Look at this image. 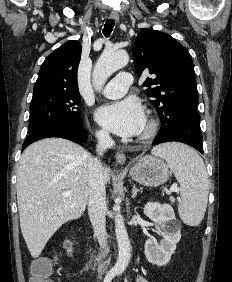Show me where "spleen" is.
Here are the masks:
<instances>
[{"label": "spleen", "mask_w": 232, "mask_h": 282, "mask_svg": "<svg viewBox=\"0 0 232 282\" xmlns=\"http://www.w3.org/2000/svg\"><path fill=\"white\" fill-rule=\"evenodd\" d=\"M151 153L167 161L180 184L181 220L190 226L199 225L208 200V174L202 158L192 148L178 143L155 147Z\"/></svg>", "instance_id": "3e777b00"}]
</instances>
